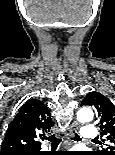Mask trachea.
<instances>
[{
    "label": "trachea",
    "mask_w": 115,
    "mask_h": 155,
    "mask_svg": "<svg viewBox=\"0 0 115 155\" xmlns=\"http://www.w3.org/2000/svg\"><path fill=\"white\" fill-rule=\"evenodd\" d=\"M46 139L49 140L52 145H56V146L61 142V139L56 137L55 135L46 137ZM71 139L75 141L81 140L80 136H78L77 134H75L74 137H72Z\"/></svg>",
    "instance_id": "obj_1"
}]
</instances>
